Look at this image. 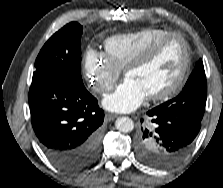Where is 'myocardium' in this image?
Wrapping results in <instances>:
<instances>
[{
  "label": "myocardium",
  "instance_id": "myocardium-1",
  "mask_svg": "<svg viewBox=\"0 0 223 188\" xmlns=\"http://www.w3.org/2000/svg\"><path fill=\"white\" fill-rule=\"evenodd\" d=\"M170 38H178L181 40L183 47H184V60L181 67V70L179 72V75L177 76L176 80L166 89H164L161 92L148 95L147 98L151 101H164L167 100L173 96H175L184 86L190 72L191 67V49L190 45L187 41V39L178 32H168L159 38H157L155 41H153L151 44L146 46L143 50H141L139 53L136 54V56L129 61V63L124 68V73L127 76V74L137 68L138 66L144 64L147 62L150 58L153 57V55L156 53V51L160 48L162 44H164L167 40Z\"/></svg>",
  "mask_w": 223,
  "mask_h": 188
}]
</instances>
